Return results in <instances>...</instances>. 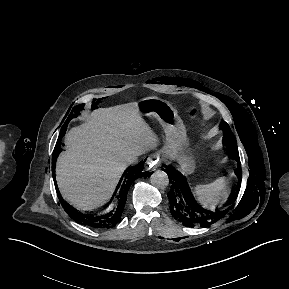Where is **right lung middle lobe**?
Segmentation results:
<instances>
[{"label":"right lung middle lobe","instance_id":"1","mask_svg":"<svg viewBox=\"0 0 289 289\" xmlns=\"http://www.w3.org/2000/svg\"><path fill=\"white\" fill-rule=\"evenodd\" d=\"M84 108V105L81 104V105H78V106H75L72 110V113L69 115L68 119L66 120V122L64 123V126H66L68 124V122L72 119V117H75L76 115L79 114V111L82 110ZM77 117V116H76ZM63 126V127H64Z\"/></svg>","mask_w":289,"mask_h":289}]
</instances>
